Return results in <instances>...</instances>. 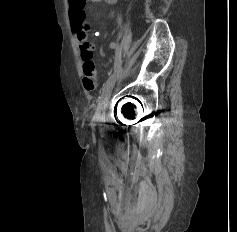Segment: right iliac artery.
<instances>
[{
	"label": "right iliac artery",
	"mask_w": 237,
	"mask_h": 232,
	"mask_svg": "<svg viewBox=\"0 0 237 232\" xmlns=\"http://www.w3.org/2000/svg\"><path fill=\"white\" fill-rule=\"evenodd\" d=\"M117 47V44L115 43V42H112L111 44H110V48L111 49H115Z\"/></svg>",
	"instance_id": "1"
}]
</instances>
